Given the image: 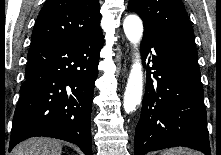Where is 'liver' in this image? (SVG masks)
<instances>
[{
    "label": "liver",
    "mask_w": 221,
    "mask_h": 155,
    "mask_svg": "<svg viewBox=\"0 0 221 155\" xmlns=\"http://www.w3.org/2000/svg\"><path fill=\"white\" fill-rule=\"evenodd\" d=\"M62 144L51 138H29L17 145L12 155H61Z\"/></svg>",
    "instance_id": "liver-1"
}]
</instances>
